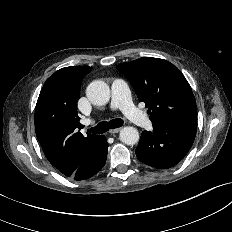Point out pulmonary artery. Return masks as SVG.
<instances>
[{
	"mask_svg": "<svg viewBox=\"0 0 232 232\" xmlns=\"http://www.w3.org/2000/svg\"><path fill=\"white\" fill-rule=\"evenodd\" d=\"M111 108L120 109L129 120L138 126H151L150 119L132 103L129 87L121 79H116L112 83Z\"/></svg>",
	"mask_w": 232,
	"mask_h": 232,
	"instance_id": "e3ab8cb5",
	"label": "pulmonary artery"
}]
</instances>
